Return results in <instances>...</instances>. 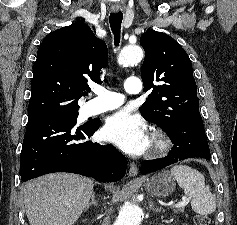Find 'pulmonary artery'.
Masks as SVG:
<instances>
[{"mask_svg": "<svg viewBox=\"0 0 237 225\" xmlns=\"http://www.w3.org/2000/svg\"><path fill=\"white\" fill-rule=\"evenodd\" d=\"M124 89L129 94H137L141 90V82L137 77H128ZM96 97L87 105L88 115H96L114 110L124 103V96L105 89H95Z\"/></svg>", "mask_w": 237, "mask_h": 225, "instance_id": "pulmonary-artery-1", "label": "pulmonary artery"}]
</instances>
